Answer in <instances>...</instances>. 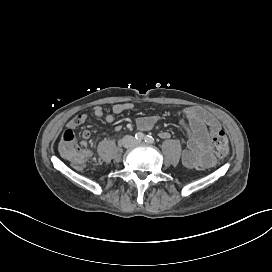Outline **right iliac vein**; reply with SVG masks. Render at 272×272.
Returning a JSON list of instances; mask_svg holds the SVG:
<instances>
[{
    "mask_svg": "<svg viewBox=\"0 0 272 272\" xmlns=\"http://www.w3.org/2000/svg\"><path fill=\"white\" fill-rule=\"evenodd\" d=\"M130 143H131V142L127 140V141L124 142V145H125L126 147H129Z\"/></svg>",
    "mask_w": 272,
    "mask_h": 272,
    "instance_id": "obj_1",
    "label": "right iliac vein"
}]
</instances>
